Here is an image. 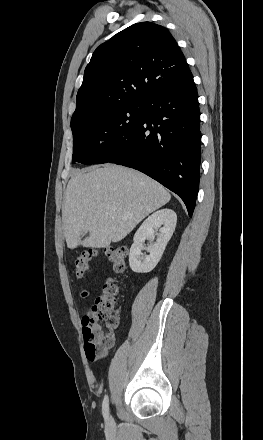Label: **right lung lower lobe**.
I'll use <instances>...</instances> for the list:
<instances>
[{
    "label": "right lung lower lobe",
    "mask_w": 263,
    "mask_h": 440,
    "mask_svg": "<svg viewBox=\"0 0 263 440\" xmlns=\"http://www.w3.org/2000/svg\"><path fill=\"white\" fill-rule=\"evenodd\" d=\"M200 112L192 73L143 101L136 129L105 162L137 169L176 193L191 217L200 180Z\"/></svg>",
    "instance_id": "right-lung-lower-lobe-1"
}]
</instances>
